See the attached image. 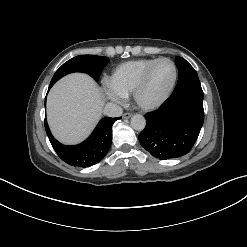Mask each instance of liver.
<instances>
[{"label": "liver", "mask_w": 247, "mask_h": 247, "mask_svg": "<svg viewBox=\"0 0 247 247\" xmlns=\"http://www.w3.org/2000/svg\"><path fill=\"white\" fill-rule=\"evenodd\" d=\"M104 100L95 81L73 73L60 79L47 99V120L53 135L62 143L83 141L101 117Z\"/></svg>", "instance_id": "6515ba94"}]
</instances>
